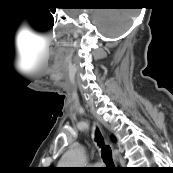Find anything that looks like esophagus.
Returning a JSON list of instances; mask_svg holds the SVG:
<instances>
[{
	"instance_id": "obj_1",
	"label": "esophagus",
	"mask_w": 173,
	"mask_h": 173,
	"mask_svg": "<svg viewBox=\"0 0 173 173\" xmlns=\"http://www.w3.org/2000/svg\"><path fill=\"white\" fill-rule=\"evenodd\" d=\"M113 161L115 164H117V155L113 152Z\"/></svg>"
}]
</instances>
